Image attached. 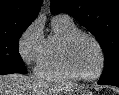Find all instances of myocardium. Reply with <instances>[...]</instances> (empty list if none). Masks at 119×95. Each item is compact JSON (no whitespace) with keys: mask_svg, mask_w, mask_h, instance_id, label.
<instances>
[{"mask_svg":"<svg viewBox=\"0 0 119 95\" xmlns=\"http://www.w3.org/2000/svg\"><path fill=\"white\" fill-rule=\"evenodd\" d=\"M80 37H86L90 39L96 45L99 51V54H100L99 69L97 73L92 76H83V75L78 74L75 71L73 64H72V60H71L72 48H73L74 43ZM62 61H63V65L65 69L73 78L82 80V81H93V80L98 79L102 75L104 68H105L106 57H105L103 46L101 45L100 41L95 36H93L90 33L78 30L72 33L70 36H68L67 39L65 40L63 44V49H62Z\"/></svg>","mask_w":119,"mask_h":95,"instance_id":"obj_1","label":"myocardium"}]
</instances>
